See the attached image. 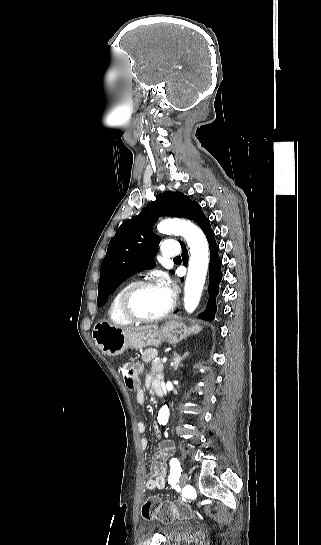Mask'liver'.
<instances>
[{
  "instance_id": "1",
  "label": "liver",
  "mask_w": 321,
  "mask_h": 545,
  "mask_svg": "<svg viewBox=\"0 0 321 545\" xmlns=\"http://www.w3.org/2000/svg\"><path fill=\"white\" fill-rule=\"evenodd\" d=\"M146 329H158L157 325H146V327H127V329H122L124 333L128 331H146Z\"/></svg>"
}]
</instances>
